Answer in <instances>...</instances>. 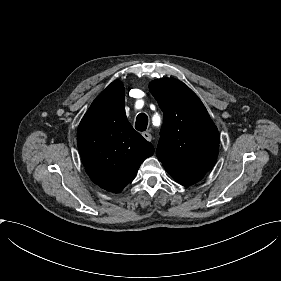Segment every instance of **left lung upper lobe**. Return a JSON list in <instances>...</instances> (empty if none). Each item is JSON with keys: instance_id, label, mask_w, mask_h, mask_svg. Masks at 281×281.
<instances>
[{"instance_id": "1", "label": "left lung upper lobe", "mask_w": 281, "mask_h": 281, "mask_svg": "<svg viewBox=\"0 0 281 281\" xmlns=\"http://www.w3.org/2000/svg\"><path fill=\"white\" fill-rule=\"evenodd\" d=\"M150 92L163 111L156 155L167 170L205 174L215 164L219 133L197 95L173 78L154 80Z\"/></svg>"}]
</instances>
